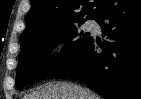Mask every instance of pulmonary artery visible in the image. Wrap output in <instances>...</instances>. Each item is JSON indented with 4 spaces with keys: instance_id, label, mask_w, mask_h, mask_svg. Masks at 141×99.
I'll return each mask as SVG.
<instances>
[{
    "instance_id": "pulmonary-artery-1",
    "label": "pulmonary artery",
    "mask_w": 141,
    "mask_h": 99,
    "mask_svg": "<svg viewBox=\"0 0 141 99\" xmlns=\"http://www.w3.org/2000/svg\"><path fill=\"white\" fill-rule=\"evenodd\" d=\"M87 26H88L89 28H91V27L94 26V24H93V22L89 21V22H87Z\"/></svg>"
}]
</instances>
